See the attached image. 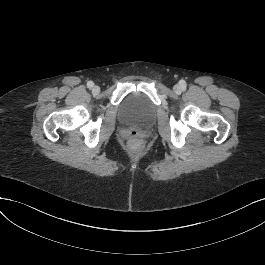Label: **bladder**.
Returning <instances> with one entry per match:
<instances>
[{
    "mask_svg": "<svg viewBox=\"0 0 265 265\" xmlns=\"http://www.w3.org/2000/svg\"><path fill=\"white\" fill-rule=\"evenodd\" d=\"M123 116L131 121H147L154 111L148 102L139 95H130L120 106Z\"/></svg>",
    "mask_w": 265,
    "mask_h": 265,
    "instance_id": "obj_1",
    "label": "bladder"
}]
</instances>
